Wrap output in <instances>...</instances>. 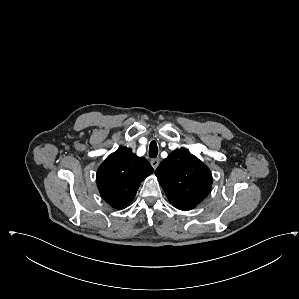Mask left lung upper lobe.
<instances>
[{
	"mask_svg": "<svg viewBox=\"0 0 299 299\" xmlns=\"http://www.w3.org/2000/svg\"><path fill=\"white\" fill-rule=\"evenodd\" d=\"M155 174L172 205L184 211L203 201L212 185L209 168L183 149L170 153Z\"/></svg>",
	"mask_w": 299,
	"mask_h": 299,
	"instance_id": "obj_1",
	"label": "left lung upper lobe"
}]
</instances>
